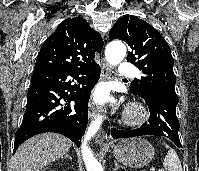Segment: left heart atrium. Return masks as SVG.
Masks as SVG:
<instances>
[{"label":"left heart atrium","instance_id":"1","mask_svg":"<svg viewBox=\"0 0 199 171\" xmlns=\"http://www.w3.org/2000/svg\"><path fill=\"white\" fill-rule=\"evenodd\" d=\"M94 99L96 100V102L102 104L105 103L106 101L109 100V96H108V92L105 89H99L95 95H94Z\"/></svg>","mask_w":199,"mask_h":171}]
</instances>
